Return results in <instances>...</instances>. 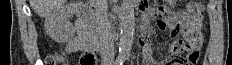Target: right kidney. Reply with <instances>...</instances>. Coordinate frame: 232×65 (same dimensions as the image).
Returning <instances> with one entry per match:
<instances>
[{
    "label": "right kidney",
    "mask_w": 232,
    "mask_h": 65,
    "mask_svg": "<svg viewBox=\"0 0 232 65\" xmlns=\"http://www.w3.org/2000/svg\"><path fill=\"white\" fill-rule=\"evenodd\" d=\"M72 15L71 5L61 6L54 10L45 19L46 33L58 43L69 41L75 34L74 26L69 22Z\"/></svg>",
    "instance_id": "ca27d5eb"
}]
</instances>
